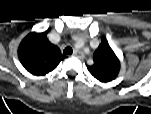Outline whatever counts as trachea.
Returning <instances> with one entry per match:
<instances>
[{
  "instance_id": "obj_1",
  "label": "trachea",
  "mask_w": 151,
  "mask_h": 114,
  "mask_svg": "<svg viewBox=\"0 0 151 114\" xmlns=\"http://www.w3.org/2000/svg\"><path fill=\"white\" fill-rule=\"evenodd\" d=\"M72 52H73V50H72V48L71 47H66L64 50H63V53L64 54H72Z\"/></svg>"
}]
</instances>
